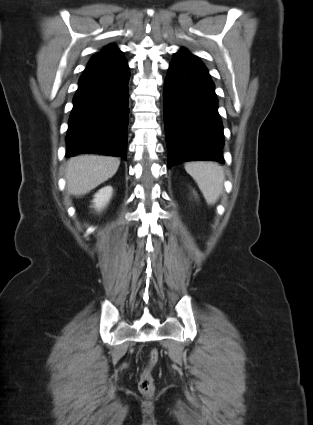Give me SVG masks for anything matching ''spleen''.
Segmentation results:
<instances>
[{
	"mask_svg": "<svg viewBox=\"0 0 313 425\" xmlns=\"http://www.w3.org/2000/svg\"><path fill=\"white\" fill-rule=\"evenodd\" d=\"M185 170L197 183L206 202L216 203L223 191V168L213 162H189L185 164Z\"/></svg>",
	"mask_w": 313,
	"mask_h": 425,
	"instance_id": "3e777b00",
	"label": "spleen"
}]
</instances>
